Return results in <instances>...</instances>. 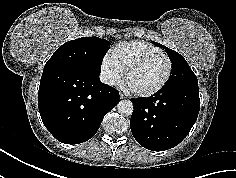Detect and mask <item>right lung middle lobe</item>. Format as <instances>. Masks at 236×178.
Masks as SVG:
<instances>
[{"label": "right lung middle lobe", "instance_id": "1", "mask_svg": "<svg viewBox=\"0 0 236 178\" xmlns=\"http://www.w3.org/2000/svg\"><path fill=\"white\" fill-rule=\"evenodd\" d=\"M109 46L107 40L98 37H83L68 41L54 52L44 68L69 65L85 67L94 73H100Z\"/></svg>", "mask_w": 236, "mask_h": 178}]
</instances>
